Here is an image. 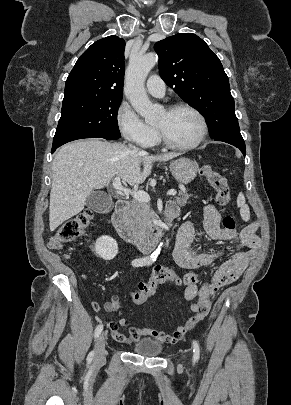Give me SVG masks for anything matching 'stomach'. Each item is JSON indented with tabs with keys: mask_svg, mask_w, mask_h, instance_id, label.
Instances as JSON below:
<instances>
[{
	"mask_svg": "<svg viewBox=\"0 0 291 405\" xmlns=\"http://www.w3.org/2000/svg\"><path fill=\"white\" fill-rule=\"evenodd\" d=\"M174 178L181 184H189L197 175L198 166L188 158L173 160L169 164Z\"/></svg>",
	"mask_w": 291,
	"mask_h": 405,
	"instance_id": "stomach-1",
	"label": "stomach"
}]
</instances>
